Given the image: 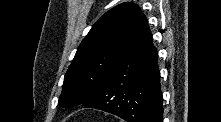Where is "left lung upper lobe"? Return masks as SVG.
Here are the masks:
<instances>
[{
  "mask_svg": "<svg viewBox=\"0 0 221 122\" xmlns=\"http://www.w3.org/2000/svg\"><path fill=\"white\" fill-rule=\"evenodd\" d=\"M139 10L138 5L122 3L92 26L65 75L60 106L85 105L93 98L123 53Z\"/></svg>",
  "mask_w": 221,
  "mask_h": 122,
  "instance_id": "1",
  "label": "left lung upper lobe"
}]
</instances>
